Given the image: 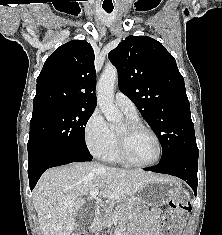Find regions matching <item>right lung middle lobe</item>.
Here are the masks:
<instances>
[{
    "label": "right lung middle lobe",
    "instance_id": "1",
    "mask_svg": "<svg viewBox=\"0 0 222 235\" xmlns=\"http://www.w3.org/2000/svg\"><path fill=\"white\" fill-rule=\"evenodd\" d=\"M93 111L54 105L33 113L27 144L28 166L59 153L90 155L84 127Z\"/></svg>",
    "mask_w": 222,
    "mask_h": 235
}]
</instances>
